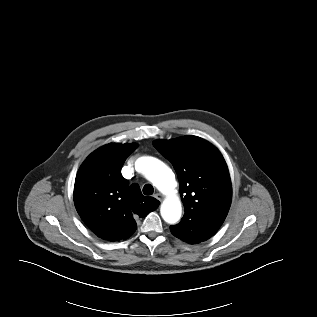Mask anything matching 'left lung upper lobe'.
<instances>
[{
  "label": "left lung upper lobe",
  "mask_w": 317,
  "mask_h": 317,
  "mask_svg": "<svg viewBox=\"0 0 317 317\" xmlns=\"http://www.w3.org/2000/svg\"><path fill=\"white\" fill-rule=\"evenodd\" d=\"M154 147L173 165L185 214L180 227L195 220L224 222L232 199L229 171L221 153L195 136L156 140Z\"/></svg>",
  "instance_id": "obj_1"
}]
</instances>
